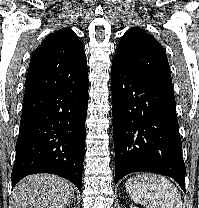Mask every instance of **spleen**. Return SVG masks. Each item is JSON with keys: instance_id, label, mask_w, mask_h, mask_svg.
<instances>
[{"instance_id": "3e777b00", "label": "spleen", "mask_w": 199, "mask_h": 208, "mask_svg": "<svg viewBox=\"0 0 199 208\" xmlns=\"http://www.w3.org/2000/svg\"><path fill=\"white\" fill-rule=\"evenodd\" d=\"M125 188L134 202L146 208L183 207L178 189L161 175H136L127 179Z\"/></svg>"}]
</instances>
